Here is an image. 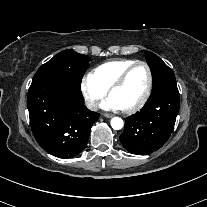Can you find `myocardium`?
Instances as JSON below:
<instances>
[{"label":"myocardium","instance_id":"myocardium-1","mask_svg":"<svg viewBox=\"0 0 207 207\" xmlns=\"http://www.w3.org/2000/svg\"><path fill=\"white\" fill-rule=\"evenodd\" d=\"M139 65L144 66V68L146 69L147 77H148L147 87H146V90H145V92L139 102H137L135 105H133L129 108L121 109V111L125 114H132V113L139 111L148 101V99L151 95V92H152V87H153V75H152V71H151L150 66L145 61L137 60V61L133 62L130 66H128L122 72V74L114 81V83L112 84V86L109 89V96L111 97V95L125 83L130 72L136 66H139Z\"/></svg>","mask_w":207,"mask_h":207}]
</instances>
